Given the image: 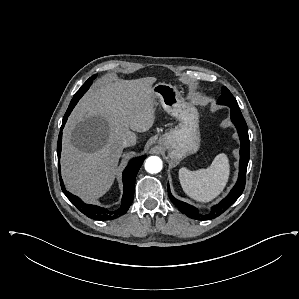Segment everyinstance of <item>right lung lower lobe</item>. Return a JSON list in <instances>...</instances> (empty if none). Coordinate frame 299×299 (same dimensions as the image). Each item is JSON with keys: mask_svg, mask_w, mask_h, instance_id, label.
<instances>
[{"mask_svg": "<svg viewBox=\"0 0 299 299\" xmlns=\"http://www.w3.org/2000/svg\"><path fill=\"white\" fill-rule=\"evenodd\" d=\"M78 100H79L78 98L71 100L70 105L63 117V122H62L61 130L58 137V143H57L59 169H60L59 160H60L61 143H62V129L67 121L68 116L70 115L71 111L77 104ZM145 158L146 156L134 158L129 162L128 166L125 168L123 172L124 192L122 197V204L121 207L115 211H109L99 206L85 204L80 198L66 191L62 179L60 181L61 189L63 193L67 196V198L79 209V211H81L87 217H90L94 220H111L120 217L127 212V210L129 209L133 201L136 175Z\"/></svg>", "mask_w": 299, "mask_h": 299, "instance_id": "obj_1", "label": "right lung lower lobe"}]
</instances>
